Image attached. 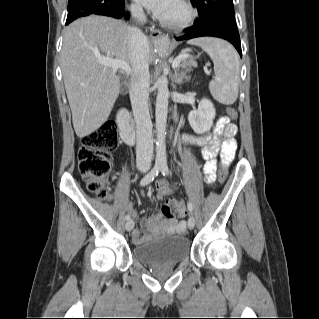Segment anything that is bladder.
<instances>
[{
  "mask_svg": "<svg viewBox=\"0 0 319 319\" xmlns=\"http://www.w3.org/2000/svg\"><path fill=\"white\" fill-rule=\"evenodd\" d=\"M191 243L181 235L145 240L134 248V256L144 264H177L189 256Z\"/></svg>",
  "mask_w": 319,
  "mask_h": 319,
  "instance_id": "bladder-1",
  "label": "bladder"
}]
</instances>
